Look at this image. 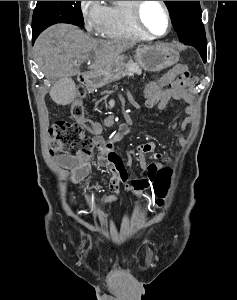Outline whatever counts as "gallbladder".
<instances>
[{
    "label": "gallbladder",
    "instance_id": "obj_1",
    "mask_svg": "<svg viewBox=\"0 0 237 300\" xmlns=\"http://www.w3.org/2000/svg\"><path fill=\"white\" fill-rule=\"evenodd\" d=\"M72 81V76H58V82L51 90L52 101H55V105H71L76 91Z\"/></svg>",
    "mask_w": 237,
    "mask_h": 300
}]
</instances>
